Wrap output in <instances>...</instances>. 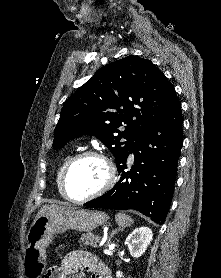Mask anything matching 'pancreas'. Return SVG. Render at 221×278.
<instances>
[{
    "mask_svg": "<svg viewBox=\"0 0 221 278\" xmlns=\"http://www.w3.org/2000/svg\"><path fill=\"white\" fill-rule=\"evenodd\" d=\"M80 240L85 244V245H90L94 248L98 247L100 237L97 235H94L92 233H87L83 234L80 238Z\"/></svg>",
    "mask_w": 221,
    "mask_h": 278,
    "instance_id": "cf45deb5",
    "label": "pancreas"
}]
</instances>
